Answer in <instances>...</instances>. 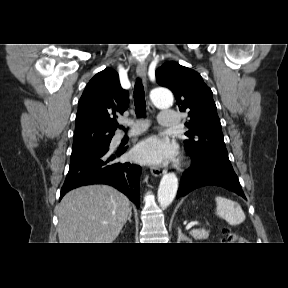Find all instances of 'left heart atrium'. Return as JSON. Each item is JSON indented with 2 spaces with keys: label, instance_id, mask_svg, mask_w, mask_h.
I'll return each instance as SVG.
<instances>
[{
  "label": "left heart atrium",
  "instance_id": "left-heart-atrium-1",
  "mask_svg": "<svg viewBox=\"0 0 288 288\" xmlns=\"http://www.w3.org/2000/svg\"><path fill=\"white\" fill-rule=\"evenodd\" d=\"M173 150L168 142L158 136H150L139 142L133 151L134 158L144 163H162L171 158Z\"/></svg>",
  "mask_w": 288,
  "mask_h": 288
}]
</instances>
